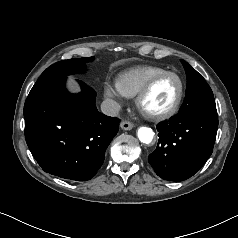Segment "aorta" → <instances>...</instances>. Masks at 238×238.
<instances>
[{"label": "aorta", "mask_w": 238, "mask_h": 238, "mask_svg": "<svg viewBox=\"0 0 238 238\" xmlns=\"http://www.w3.org/2000/svg\"><path fill=\"white\" fill-rule=\"evenodd\" d=\"M154 131L150 127L142 126L137 131V136L140 142L144 144H149L154 138Z\"/></svg>", "instance_id": "1"}]
</instances>
